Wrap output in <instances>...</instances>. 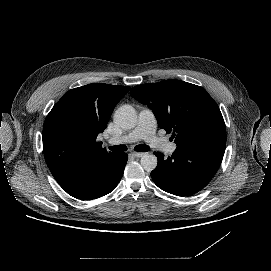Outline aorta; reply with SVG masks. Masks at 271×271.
Returning <instances> with one entry per match:
<instances>
[{
  "instance_id": "obj_1",
  "label": "aorta",
  "mask_w": 271,
  "mask_h": 271,
  "mask_svg": "<svg viewBox=\"0 0 271 271\" xmlns=\"http://www.w3.org/2000/svg\"><path fill=\"white\" fill-rule=\"evenodd\" d=\"M137 113L134 107L125 104L120 106L114 114L113 120L122 129H132L137 124ZM141 166L147 172H151L157 166V157L153 154L145 153L140 160Z\"/></svg>"
}]
</instances>
